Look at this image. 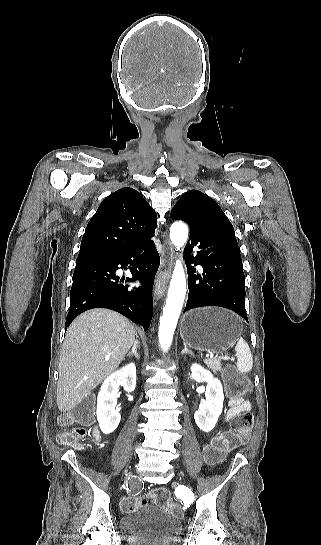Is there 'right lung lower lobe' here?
<instances>
[{
	"instance_id": "obj_1",
	"label": "right lung lower lobe",
	"mask_w": 321,
	"mask_h": 545,
	"mask_svg": "<svg viewBox=\"0 0 321 545\" xmlns=\"http://www.w3.org/2000/svg\"><path fill=\"white\" fill-rule=\"evenodd\" d=\"M150 238L119 255L76 263L65 329L79 314L92 308L112 309L148 329L153 309L152 285L160 264ZM118 265L125 269L130 265L133 278H126V282L139 280L142 287L130 289L119 284L122 279L115 274Z\"/></svg>"
}]
</instances>
